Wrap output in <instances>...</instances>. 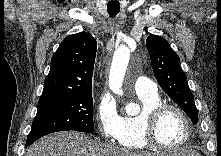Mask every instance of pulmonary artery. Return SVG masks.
<instances>
[{"label": "pulmonary artery", "mask_w": 221, "mask_h": 156, "mask_svg": "<svg viewBox=\"0 0 221 156\" xmlns=\"http://www.w3.org/2000/svg\"><path fill=\"white\" fill-rule=\"evenodd\" d=\"M135 91L137 94H155L157 86L149 78L140 76L135 81Z\"/></svg>", "instance_id": "obj_1"}]
</instances>
